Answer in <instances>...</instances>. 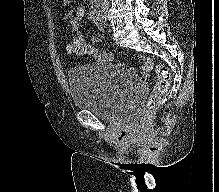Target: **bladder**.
I'll return each mask as SVG.
<instances>
[{
	"instance_id": "bladder-1",
	"label": "bladder",
	"mask_w": 219,
	"mask_h": 192,
	"mask_svg": "<svg viewBox=\"0 0 219 192\" xmlns=\"http://www.w3.org/2000/svg\"><path fill=\"white\" fill-rule=\"evenodd\" d=\"M73 104L107 122L133 118L144 100L126 69L113 63H89L72 68L67 74Z\"/></svg>"
}]
</instances>
